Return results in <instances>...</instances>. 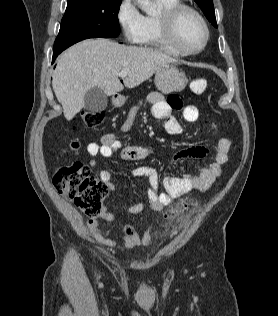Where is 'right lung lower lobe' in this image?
<instances>
[{
	"instance_id": "98d812e1",
	"label": "right lung lower lobe",
	"mask_w": 278,
	"mask_h": 316,
	"mask_svg": "<svg viewBox=\"0 0 278 316\" xmlns=\"http://www.w3.org/2000/svg\"><path fill=\"white\" fill-rule=\"evenodd\" d=\"M62 51H58V52H53V58H52V63L55 61L56 57L58 56L59 53H61Z\"/></svg>"
}]
</instances>
